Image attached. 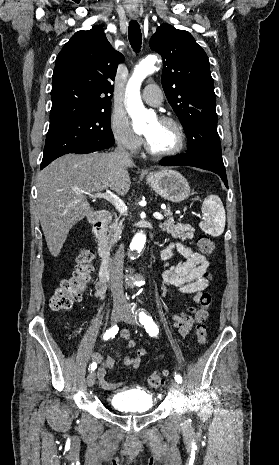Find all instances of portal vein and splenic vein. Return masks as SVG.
Masks as SVG:
<instances>
[{"label": "portal vein and splenic vein", "instance_id": "obj_1", "mask_svg": "<svg viewBox=\"0 0 279 465\" xmlns=\"http://www.w3.org/2000/svg\"><path fill=\"white\" fill-rule=\"evenodd\" d=\"M90 197L105 199L108 202H110L118 210V212H120L121 214H126L127 213L128 208L125 205V203L117 195L113 194L107 188H106V192H104V193L97 192V193H95L93 195H90ZM153 216L158 220L163 219V215L161 213H159V212H155L153 214Z\"/></svg>", "mask_w": 279, "mask_h": 465}]
</instances>
